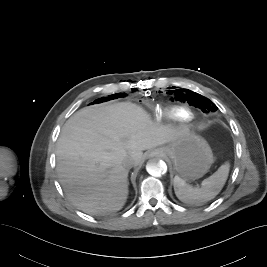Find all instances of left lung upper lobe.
I'll use <instances>...</instances> for the list:
<instances>
[{
	"label": "left lung upper lobe",
	"mask_w": 267,
	"mask_h": 267,
	"mask_svg": "<svg viewBox=\"0 0 267 267\" xmlns=\"http://www.w3.org/2000/svg\"><path fill=\"white\" fill-rule=\"evenodd\" d=\"M162 98L165 102L174 106L195 105L204 112H215L217 107L213 102L198 93L189 89H180L174 86H167L162 91Z\"/></svg>",
	"instance_id": "5c2ea615"
}]
</instances>
